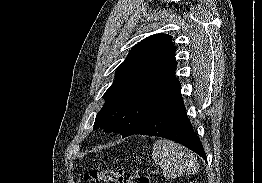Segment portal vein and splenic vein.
I'll use <instances>...</instances> for the list:
<instances>
[{"instance_id":"obj_1","label":"portal vein and splenic vein","mask_w":262,"mask_h":183,"mask_svg":"<svg viewBox=\"0 0 262 183\" xmlns=\"http://www.w3.org/2000/svg\"><path fill=\"white\" fill-rule=\"evenodd\" d=\"M153 174H158L159 173V170H154L152 171Z\"/></svg>"}]
</instances>
